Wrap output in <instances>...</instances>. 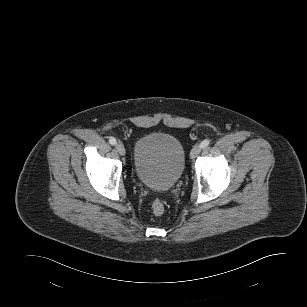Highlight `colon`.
<instances>
[{
	"label": "colon",
	"mask_w": 307,
	"mask_h": 307,
	"mask_svg": "<svg viewBox=\"0 0 307 307\" xmlns=\"http://www.w3.org/2000/svg\"><path fill=\"white\" fill-rule=\"evenodd\" d=\"M151 209L154 215L160 216L164 213L165 207L161 200L156 199L153 201Z\"/></svg>",
	"instance_id": "obj_1"
}]
</instances>
